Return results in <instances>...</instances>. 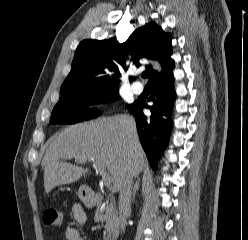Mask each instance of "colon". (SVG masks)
I'll return each instance as SVG.
<instances>
[{
	"label": "colon",
	"mask_w": 248,
	"mask_h": 240,
	"mask_svg": "<svg viewBox=\"0 0 248 240\" xmlns=\"http://www.w3.org/2000/svg\"><path fill=\"white\" fill-rule=\"evenodd\" d=\"M43 222L47 226L58 227L63 222V214L56 208H48L43 213Z\"/></svg>",
	"instance_id": "colon-1"
}]
</instances>
